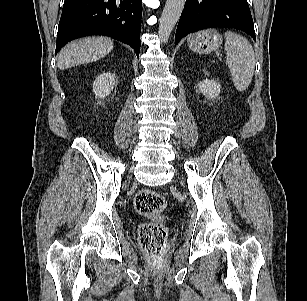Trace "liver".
<instances>
[{
  "instance_id": "liver-1",
  "label": "liver",
  "mask_w": 307,
  "mask_h": 301,
  "mask_svg": "<svg viewBox=\"0 0 307 301\" xmlns=\"http://www.w3.org/2000/svg\"><path fill=\"white\" fill-rule=\"evenodd\" d=\"M113 49V40L103 36H93L76 40L66 45L58 55V67L68 69L105 57Z\"/></svg>"
}]
</instances>
